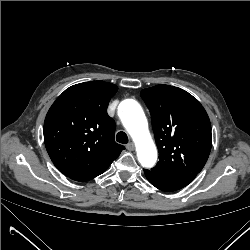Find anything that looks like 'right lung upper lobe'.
Wrapping results in <instances>:
<instances>
[{"mask_svg":"<svg viewBox=\"0 0 250 250\" xmlns=\"http://www.w3.org/2000/svg\"><path fill=\"white\" fill-rule=\"evenodd\" d=\"M117 86L91 81L66 89L52 104L44 122V141L54 165L74 179L101 172L124 146L114 141L116 124L107 106Z\"/></svg>","mask_w":250,"mask_h":250,"instance_id":"obj_1","label":"right lung upper lobe"}]
</instances>
